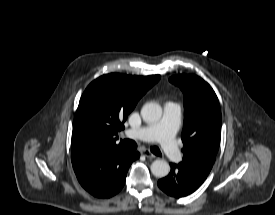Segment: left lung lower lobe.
I'll return each mask as SVG.
<instances>
[{
    "instance_id": "1",
    "label": "left lung lower lobe",
    "mask_w": 275,
    "mask_h": 215,
    "mask_svg": "<svg viewBox=\"0 0 275 215\" xmlns=\"http://www.w3.org/2000/svg\"><path fill=\"white\" fill-rule=\"evenodd\" d=\"M170 166L169 175L160 179L158 186L171 197L180 198L193 193L207 177L185 167L182 163H171Z\"/></svg>"
}]
</instances>
